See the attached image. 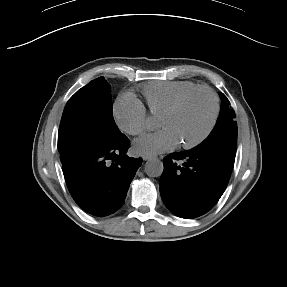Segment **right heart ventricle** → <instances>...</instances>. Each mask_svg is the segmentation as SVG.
Returning <instances> with one entry per match:
<instances>
[{
    "label": "right heart ventricle",
    "mask_w": 287,
    "mask_h": 287,
    "mask_svg": "<svg viewBox=\"0 0 287 287\" xmlns=\"http://www.w3.org/2000/svg\"><path fill=\"white\" fill-rule=\"evenodd\" d=\"M197 87L190 81L155 82L143 88V95L154 116L162 114L183 94Z\"/></svg>",
    "instance_id": "e07e8e85"
}]
</instances>
